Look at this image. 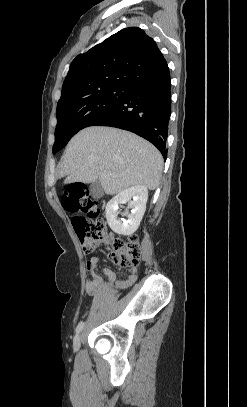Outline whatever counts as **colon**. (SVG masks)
<instances>
[{
	"label": "colon",
	"mask_w": 247,
	"mask_h": 407,
	"mask_svg": "<svg viewBox=\"0 0 247 407\" xmlns=\"http://www.w3.org/2000/svg\"><path fill=\"white\" fill-rule=\"evenodd\" d=\"M62 206L70 214H82L72 218V225L84 252H92L101 242L108 239L98 202L85 186L80 184L68 186L62 196ZM109 259L123 268L136 266L141 259L137 237L132 236L127 241L119 238L111 240Z\"/></svg>",
	"instance_id": "1"
}]
</instances>
